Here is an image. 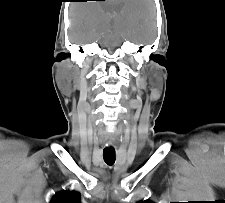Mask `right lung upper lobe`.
I'll list each match as a JSON object with an SVG mask.
<instances>
[{"instance_id": "cb5924a9", "label": "right lung upper lobe", "mask_w": 225, "mask_h": 203, "mask_svg": "<svg viewBox=\"0 0 225 203\" xmlns=\"http://www.w3.org/2000/svg\"><path fill=\"white\" fill-rule=\"evenodd\" d=\"M50 203H80V194L75 191H62L55 194Z\"/></svg>"}]
</instances>
